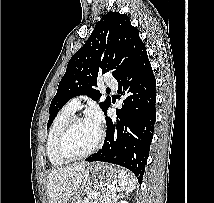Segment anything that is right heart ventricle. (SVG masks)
<instances>
[{
	"mask_svg": "<svg viewBox=\"0 0 214 203\" xmlns=\"http://www.w3.org/2000/svg\"><path fill=\"white\" fill-rule=\"evenodd\" d=\"M75 110L71 109L68 105H66L55 117L46 141V152L47 156L54 166H63L67 163L64 159H62L56 149L57 138L65 126V124L74 116Z\"/></svg>",
	"mask_w": 214,
	"mask_h": 203,
	"instance_id": "obj_1",
	"label": "right heart ventricle"
}]
</instances>
